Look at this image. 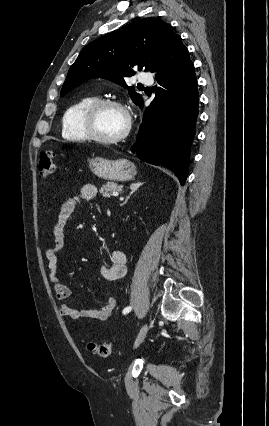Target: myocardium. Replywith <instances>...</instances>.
<instances>
[{
    "instance_id": "1",
    "label": "myocardium",
    "mask_w": 269,
    "mask_h": 426,
    "mask_svg": "<svg viewBox=\"0 0 269 426\" xmlns=\"http://www.w3.org/2000/svg\"><path fill=\"white\" fill-rule=\"evenodd\" d=\"M106 106H113V107L119 108L120 110L124 112L126 117V126L124 130L119 135L113 138H105L98 135L94 127V121L98 111L101 108ZM82 123H83V128L89 139L95 142H98L101 144H107V145L117 144L125 140L128 137L132 127L131 117L127 109L125 108V106L121 102L114 99H109V98H100L93 101L84 111L83 117H82Z\"/></svg>"
}]
</instances>
